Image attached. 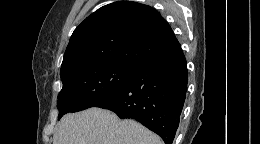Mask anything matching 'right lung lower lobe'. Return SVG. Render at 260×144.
<instances>
[{
  "label": "right lung lower lobe",
  "mask_w": 260,
  "mask_h": 144,
  "mask_svg": "<svg viewBox=\"0 0 260 144\" xmlns=\"http://www.w3.org/2000/svg\"><path fill=\"white\" fill-rule=\"evenodd\" d=\"M187 83V63L179 47L136 66L127 81L95 107L135 119L172 144Z\"/></svg>",
  "instance_id": "obj_1"
}]
</instances>
